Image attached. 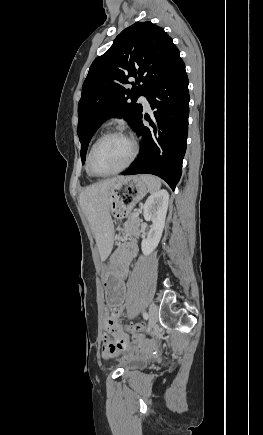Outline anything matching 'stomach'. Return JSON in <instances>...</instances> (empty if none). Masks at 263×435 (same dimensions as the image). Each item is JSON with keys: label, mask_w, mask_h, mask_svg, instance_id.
I'll return each instance as SVG.
<instances>
[{"label": "stomach", "mask_w": 263, "mask_h": 435, "mask_svg": "<svg viewBox=\"0 0 263 435\" xmlns=\"http://www.w3.org/2000/svg\"><path fill=\"white\" fill-rule=\"evenodd\" d=\"M147 185L140 176L124 177L113 184L109 190V211L116 219H123L125 215L147 193ZM127 262L121 258H108L104 265L101 279L104 282V307L115 310L117 305H124L127 296L125 278Z\"/></svg>", "instance_id": "1"}]
</instances>
